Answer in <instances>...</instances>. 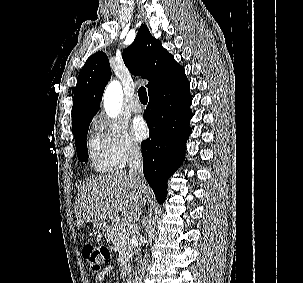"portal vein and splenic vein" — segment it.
Listing matches in <instances>:
<instances>
[{
  "instance_id": "1",
  "label": "portal vein and splenic vein",
  "mask_w": 303,
  "mask_h": 283,
  "mask_svg": "<svg viewBox=\"0 0 303 283\" xmlns=\"http://www.w3.org/2000/svg\"><path fill=\"white\" fill-rule=\"evenodd\" d=\"M123 226H128V223H122ZM129 227V226H128Z\"/></svg>"
}]
</instances>
